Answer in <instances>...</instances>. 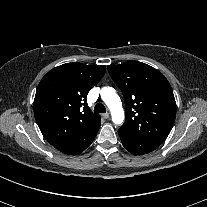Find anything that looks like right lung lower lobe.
I'll use <instances>...</instances> for the list:
<instances>
[{"label": "right lung lower lobe", "mask_w": 207, "mask_h": 207, "mask_svg": "<svg viewBox=\"0 0 207 207\" xmlns=\"http://www.w3.org/2000/svg\"><path fill=\"white\" fill-rule=\"evenodd\" d=\"M100 125L96 126L94 129L90 130L89 132L81 135L78 139H76L72 144L69 146L60 149L61 152L64 154L76 155L84 151L93 141L95 138Z\"/></svg>", "instance_id": "98d812e1"}]
</instances>
